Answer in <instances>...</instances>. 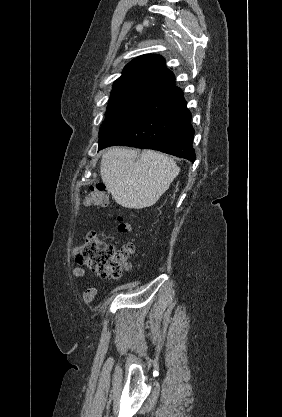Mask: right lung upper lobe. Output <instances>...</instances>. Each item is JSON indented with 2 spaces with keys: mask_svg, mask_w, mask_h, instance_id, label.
Instances as JSON below:
<instances>
[{
  "mask_svg": "<svg viewBox=\"0 0 282 417\" xmlns=\"http://www.w3.org/2000/svg\"><path fill=\"white\" fill-rule=\"evenodd\" d=\"M173 73L165 67L160 55L147 54L132 60L115 81L112 93L147 92L161 94L174 86Z\"/></svg>",
  "mask_w": 282,
  "mask_h": 417,
  "instance_id": "1",
  "label": "right lung upper lobe"
}]
</instances>
